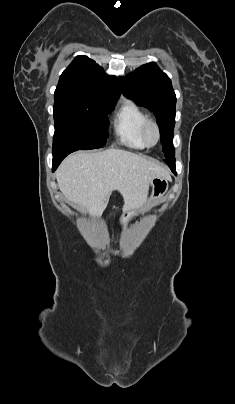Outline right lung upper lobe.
<instances>
[{
    "instance_id": "obj_1",
    "label": "right lung upper lobe",
    "mask_w": 235,
    "mask_h": 404,
    "mask_svg": "<svg viewBox=\"0 0 235 404\" xmlns=\"http://www.w3.org/2000/svg\"><path fill=\"white\" fill-rule=\"evenodd\" d=\"M55 94L116 102L120 88L115 76H108L95 61L77 56L60 76Z\"/></svg>"
}]
</instances>
